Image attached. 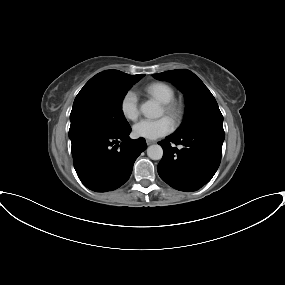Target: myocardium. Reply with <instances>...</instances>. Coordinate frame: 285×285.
<instances>
[{
  "label": "myocardium",
  "instance_id": "f54148a6",
  "mask_svg": "<svg viewBox=\"0 0 285 285\" xmlns=\"http://www.w3.org/2000/svg\"><path fill=\"white\" fill-rule=\"evenodd\" d=\"M163 108L165 113L168 114L176 122L182 120L186 110L184 102L176 99L164 103Z\"/></svg>",
  "mask_w": 285,
  "mask_h": 285
}]
</instances>
